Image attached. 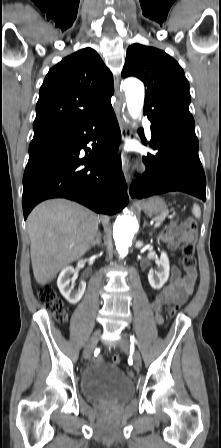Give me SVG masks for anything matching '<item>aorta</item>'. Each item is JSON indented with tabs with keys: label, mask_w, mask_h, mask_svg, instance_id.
Returning <instances> with one entry per match:
<instances>
[{
	"label": "aorta",
	"mask_w": 221,
	"mask_h": 448,
	"mask_svg": "<svg viewBox=\"0 0 221 448\" xmlns=\"http://www.w3.org/2000/svg\"><path fill=\"white\" fill-rule=\"evenodd\" d=\"M127 108L133 119L139 117L144 104V86L136 79H127L123 83ZM139 225L132 215H121L117 217L113 227V237L116 249L121 257L125 256L132 243V239L138 231Z\"/></svg>",
	"instance_id": "aorta-1"
}]
</instances>
